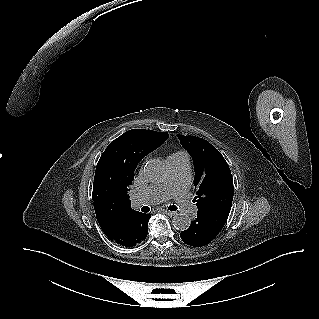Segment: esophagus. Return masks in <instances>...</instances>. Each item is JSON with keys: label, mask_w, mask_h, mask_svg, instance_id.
Returning <instances> with one entry per match:
<instances>
[{"label": "esophagus", "mask_w": 319, "mask_h": 319, "mask_svg": "<svg viewBox=\"0 0 319 319\" xmlns=\"http://www.w3.org/2000/svg\"><path fill=\"white\" fill-rule=\"evenodd\" d=\"M163 213L166 214V215H168V216H170V217H172V216L175 215V212H173V211H168V210H163Z\"/></svg>", "instance_id": "1"}]
</instances>
